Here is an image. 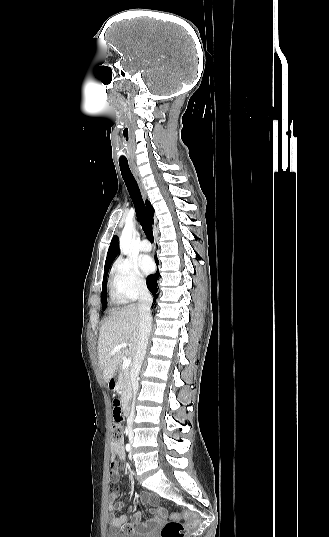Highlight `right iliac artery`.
<instances>
[{
	"label": "right iliac artery",
	"mask_w": 329,
	"mask_h": 537,
	"mask_svg": "<svg viewBox=\"0 0 329 537\" xmlns=\"http://www.w3.org/2000/svg\"><path fill=\"white\" fill-rule=\"evenodd\" d=\"M131 449L130 444H126V450L129 452Z\"/></svg>",
	"instance_id": "right-iliac-artery-1"
}]
</instances>
